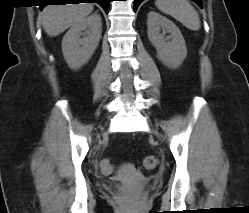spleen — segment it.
Returning <instances> with one entry per match:
<instances>
[{
  "instance_id": "spleen-1",
  "label": "spleen",
  "mask_w": 249,
  "mask_h": 213,
  "mask_svg": "<svg viewBox=\"0 0 249 213\" xmlns=\"http://www.w3.org/2000/svg\"><path fill=\"white\" fill-rule=\"evenodd\" d=\"M155 5L159 10L174 17L190 30L200 29V18L188 0H156Z\"/></svg>"
}]
</instances>
